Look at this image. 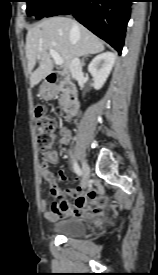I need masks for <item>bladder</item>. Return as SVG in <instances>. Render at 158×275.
<instances>
[{
	"label": "bladder",
	"instance_id": "obj_1",
	"mask_svg": "<svg viewBox=\"0 0 158 275\" xmlns=\"http://www.w3.org/2000/svg\"><path fill=\"white\" fill-rule=\"evenodd\" d=\"M52 233L65 237H82L87 232L86 223L77 218H68L53 223L50 226Z\"/></svg>",
	"mask_w": 158,
	"mask_h": 275
}]
</instances>
